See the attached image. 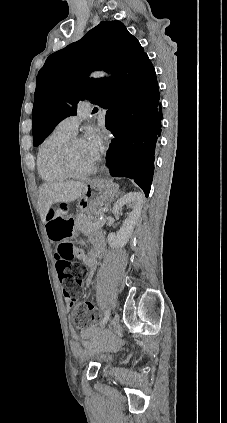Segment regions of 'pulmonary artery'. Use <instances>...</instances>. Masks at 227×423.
I'll return each instance as SVG.
<instances>
[{"instance_id": "obj_1", "label": "pulmonary artery", "mask_w": 227, "mask_h": 423, "mask_svg": "<svg viewBox=\"0 0 227 423\" xmlns=\"http://www.w3.org/2000/svg\"><path fill=\"white\" fill-rule=\"evenodd\" d=\"M90 111H79L77 116H69L59 123V127L70 133L76 135L79 123L81 120H90Z\"/></svg>"}]
</instances>
